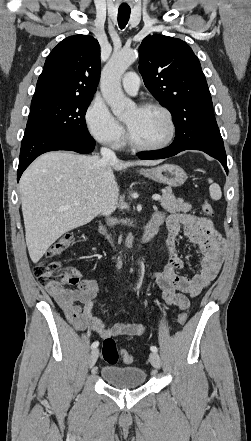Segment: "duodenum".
<instances>
[{
	"instance_id": "duodenum-1",
	"label": "duodenum",
	"mask_w": 251,
	"mask_h": 441,
	"mask_svg": "<svg viewBox=\"0 0 251 441\" xmlns=\"http://www.w3.org/2000/svg\"><path fill=\"white\" fill-rule=\"evenodd\" d=\"M161 225V222L157 220L156 218L152 217L149 223L146 226V229L141 237V242L146 243L150 241L158 232L159 227ZM101 233L105 235L109 241H112L111 236L107 233L106 229L104 227H101Z\"/></svg>"
}]
</instances>
